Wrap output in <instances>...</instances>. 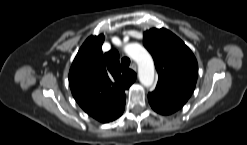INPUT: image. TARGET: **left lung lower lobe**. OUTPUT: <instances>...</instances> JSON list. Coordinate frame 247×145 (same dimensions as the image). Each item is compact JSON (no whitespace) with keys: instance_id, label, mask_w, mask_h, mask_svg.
Returning <instances> with one entry per match:
<instances>
[{"instance_id":"left-lung-lower-lobe-1","label":"left lung lower lobe","mask_w":247,"mask_h":145,"mask_svg":"<svg viewBox=\"0 0 247 145\" xmlns=\"http://www.w3.org/2000/svg\"><path fill=\"white\" fill-rule=\"evenodd\" d=\"M187 100L184 97L159 88L148 94V101L153 110L163 115L172 114L179 110Z\"/></svg>"}]
</instances>
